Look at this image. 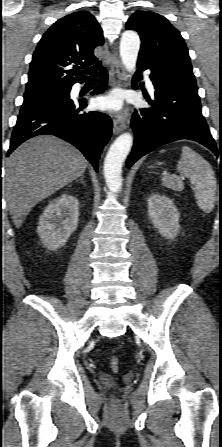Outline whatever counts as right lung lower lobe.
Wrapping results in <instances>:
<instances>
[{
  "mask_svg": "<svg viewBox=\"0 0 222 447\" xmlns=\"http://www.w3.org/2000/svg\"><path fill=\"white\" fill-rule=\"evenodd\" d=\"M107 72L101 71V82L95 94L104 91ZM85 99L73 102L70 97L44 108L19 114L7 155L29 138L41 134L55 135L76 146L98 171L102 148L112 134L111 118L101 112H81Z\"/></svg>",
  "mask_w": 222,
  "mask_h": 447,
  "instance_id": "right-lung-lower-lobe-1",
  "label": "right lung lower lobe"
}]
</instances>
